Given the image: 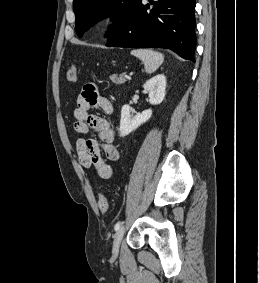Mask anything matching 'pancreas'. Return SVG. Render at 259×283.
<instances>
[{
  "label": "pancreas",
  "instance_id": "pancreas-1",
  "mask_svg": "<svg viewBox=\"0 0 259 283\" xmlns=\"http://www.w3.org/2000/svg\"><path fill=\"white\" fill-rule=\"evenodd\" d=\"M111 81L115 84H124L126 82V79H125V74H120L119 76H117L116 74H113L111 77H110Z\"/></svg>",
  "mask_w": 259,
  "mask_h": 283
}]
</instances>
